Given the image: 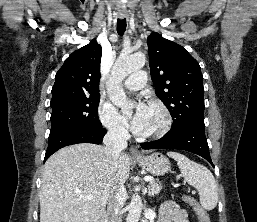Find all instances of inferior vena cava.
<instances>
[{"instance_id":"602c4592","label":"inferior vena cava","mask_w":257,"mask_h":222,"mask_svg":"<svg viewBox=\"0 0 257 222\" xmlns=\"http://www.w3.org/2000/svg\"><path fill=\"white\" fill-rule=\"evenodd\" d=\"M128 131L119 124H112L104 136L105 155L109 160L116 161L122 150L127 147ZM126 193L123 184H120L114 196L108 203L109 222H122L123 197Z\"/></svg>"}]
</instances>
